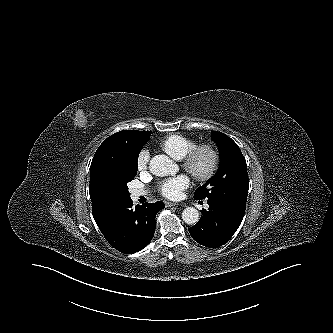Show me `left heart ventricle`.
Listing matches in <instances>:
<instances>
[{
    "mask_svg": "<svg viewBox=\"0 0 333 333\" xmlns=\"http://www.w3.org/2000/svg\"><path fill=\"white\" fill-rule=\"evenodd\" d=\"M208 164V156L206 154H201L196 160L195 168L198 171H203Z\"/></svg>",
    "mask_w": 333,
    "mask_h": 333,
    "instance_id": "obj_1",
    "label": "left heart ventricle"
}]
</instances>
